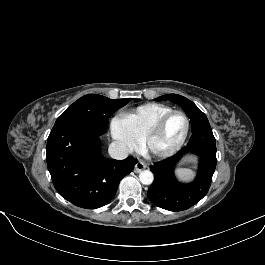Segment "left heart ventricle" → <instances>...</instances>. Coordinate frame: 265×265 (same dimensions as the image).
I'll use <instances>...</instances> for the list:
<instances>
[{"label":"left heart ventricle","mask_w":265,"mask_h":265,"mask_svg":"<svg viewBox=\"0 0 265 265\" xmlns=\"http://www.w3.org/2000/svg\"><path fill=\"white\" fill-rule=\"evenodd\" d=\"M186 130V121L183 116L175 114L168 118L162 130L153 141L157 149H166L177 144Z\"/></svg>","instance_id":"left-heart-ventricle-1"}]
</instances>
